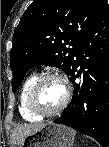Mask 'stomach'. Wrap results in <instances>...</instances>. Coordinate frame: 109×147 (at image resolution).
<instances>
[{"mask_svg":"<svg viewBox=\"0 0 109 147\" xmlns=\"http://www.w3.org/2000/svg\"><path fill=\"white\" fill-rule=\"evenodd\" d=\"M75 132L60 124H46L40 130L26 136L21 147H72Z\"/></svg>","mask_w":109,"mask_h":147,"instance_id":"obj_1","label":"stomach"}]
</instances>
